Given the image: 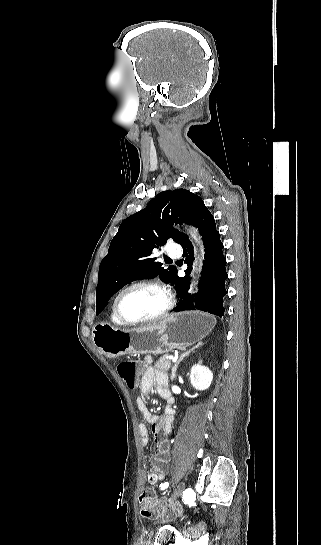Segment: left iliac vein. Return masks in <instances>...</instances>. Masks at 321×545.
Returning <instances> with one entry per match:
<instances>
[{
  "instance_id": "1",
  "label": "left iliac vein",
  "mask_w": 321,
  "mask_h": 545,
  "mask_svg": "<svg viewBox=\"0 0 321 545\" xmlns=\"http://www.w3.org/2000/svg\"><path fill=\"white\" fill-rule=\"evenodd\" d=\"M184 488H185L184 482H181L179 485H177V487L175 488L172 494L171 501H175L179 496H181Z\"/></svg>"
}]
</instances>
